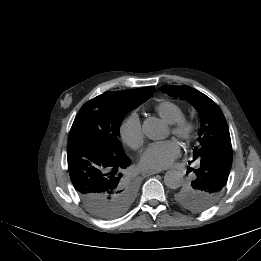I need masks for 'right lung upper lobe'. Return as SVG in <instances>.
<instances>
[{
  "label": "right lung upper lobe",
  "mask_w": 261,
  "mask_h": 261,
  "mask_svg": "<svg viewBox=\"0 0 261 261\" xmlns=\"http://www.w3.org/2000/svg\"><path fill=\"white\" fill-rule=\"evenodd\" d=\"M154 87H146L141 89L125 90V91H110L103 94V96L116 100H134V99H148L154 93Z\"/></svg>",
  "instance_id": "cb5924a9"
}]
</instances>
